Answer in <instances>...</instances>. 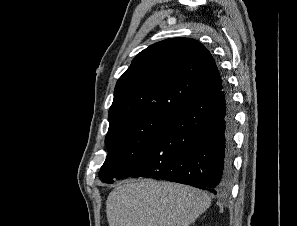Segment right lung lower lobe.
Masks as SVG:
<instances>
[{
	"label": "right lung lower lobe",
	"instance_id": "obj_1",
	"mask_svg": "<svg viewBox=\"0 0 297 226\" xmlns=\"http://www.w3.org/2000/svg\"><path fill=\"white\" fill-rule=\"evenodd\" d=\"M234 117L226 84L218 92L183 104L116 179L151 177L224 193L233 170Z\"/></svg>",
	"mask_w": 297,
	"mask_h": 226
}]
</instances>
